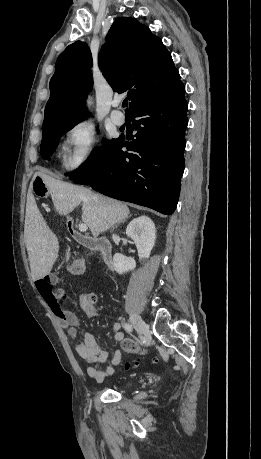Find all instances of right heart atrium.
Here are the masks:
<instances>
[{"mask_svg":"<svg viewBox=\"0 0 261 459\" xmlns=\"http://www.w3.org/2000/svg\"><path fill=\"white\" fill-rule=\"evenodd\" d=\"M68 149L63 165L66 170L76 171L84 167L92 158L97 146V133L92 124L80 121L67 131Z\"/></svg>","mask_w":261,"mask_h":459,"instance_id":"d8ad5b80","label":"right heart atrium"}]
</instances>
